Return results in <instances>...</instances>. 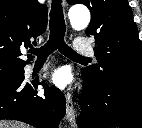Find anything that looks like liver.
<instances>
[{
  "mask_svg": "<svg viewBox=\"0 0 142 128\" xmlns=\"http://www.w3.org/2000/svg\"><path fill=\"white\" fill-rule=\"evenodd\" d=\"M0 128H30L29 125H26L17 121H1Z\"/></svg>",
  "mask_w": 142,
  "mask_h": 128,
  "instance_id": "obj_1",
  "label": "liver"
}]
</instances>
